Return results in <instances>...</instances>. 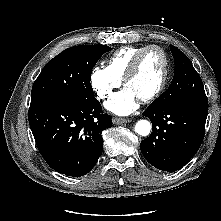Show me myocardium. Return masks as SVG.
<instances>
[{"mask_svg":"<svg viewBox=\"0 0 221 221\" xmlns=\"http://www.w3.org/2000/svg\"><path fill=\"white\" fill-rule=\"evenodd\" d=\"M151 50H157L161 53V55L163 57V61H164L163 73H162L160 82L157 85L156 89L152 93H150L149 95L139 99L140 102H142V103H148V102H151L154 99H156L162 93V91L164 90V88L166 86V83H167L168 77H169V59H168L166 52L161 47H159L157 45H149V46L143 48L134 56L129 68L127 69L124 77L122 78V83L124 86H126L127 82L137 73L143 56Z\"/></svg>","mask_w":221,"mask_h":221,"instance_id":"myocardium-1","label":"myocardium"}]
</instances>
